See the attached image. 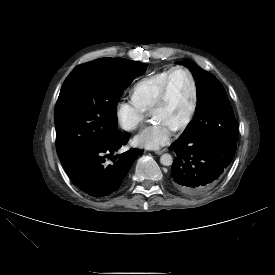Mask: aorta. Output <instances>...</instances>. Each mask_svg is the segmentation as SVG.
Returning <instances> with one entry per match:
<instances>
[{"instance_id":"1","label":"aorta","mask_w":275,"mask_h":275,"mask_svg":"<svg viewBox=\"0 0 275 275\" xmlns=\"http://www.w3.org/2000/svg\"><path fill=\"white\" fill-rule=\"evenodd\" d=\"M160 162L164 166H170L173 163V158L170 154L165 153L161 156Z\"/></svg>"}]
</instances>
